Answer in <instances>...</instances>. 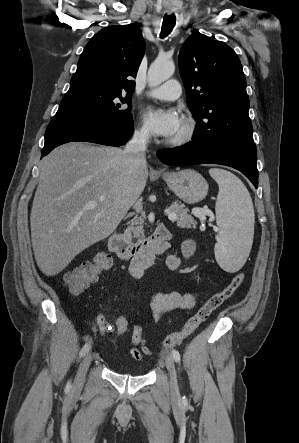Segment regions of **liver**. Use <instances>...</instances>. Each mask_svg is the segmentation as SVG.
<instances>
[{"label":"liver","mask_w":299,"mask_h":443,"mask_svg":"<svg viewBox=\"0 0 299 443\" xmlns=\"http://www.w3.org/2000/svg\"><path fill=\"white\" fill-rule=\"evenodd\" d=\"M146 163L135 165L121 148L71 142L40 165L30 224L36 263L47 276L108 237L142 194ZM95 202L92 208L86 205Z\"/></svg>","instance_id":"obj_1"}]
</instances>
